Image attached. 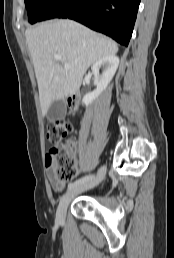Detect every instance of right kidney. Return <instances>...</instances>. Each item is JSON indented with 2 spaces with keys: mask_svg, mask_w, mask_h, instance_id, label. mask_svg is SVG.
Returning a JSON list of instances; mask_svg holds the SVG:
<instances>
[{
  "mask_svg": "<svg viewBox=\"0 0 174 258\" xmlns=\"http://www.w3.org/2000/svg\"><path fill=\"white\" fill-rule=\"evenodd\" d=\"M119 65V58L115 55L105 56L99 59L91 67L92 73L94 74V83L97 88L84 96L82 102L88 106L94 100H96L99 95L107 88L108 84L112 80L113 76L116 73V70ZM103 68L102 75H99V70Z\"/></svg>",
  "mask_w": 174,
  "mask_h": 258,
  "instance_id": "right-kidney-1",
  "label": "right kidney"
}]
</instances>
